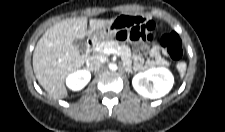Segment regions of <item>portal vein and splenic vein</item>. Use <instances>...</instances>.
I'll use <instances>...</instances> for the list:
<instances>
[{"mask_svg":"<svg viewBox=\"0 0 225 132\" xmlns=\"http://www.w3.org/2000/svg\"><path fill=\"white\" fill-rule=\"evenodd\" d=\"M103 54H107V55H109V54H117L118 56H121V53L118 50L113 49V48H106V49H104L103 50Z\"/></svg>","mask_w":225,"mask_h":132,"instance_id":"1","label":"portal vein and splenic vein"}]
</instances>
